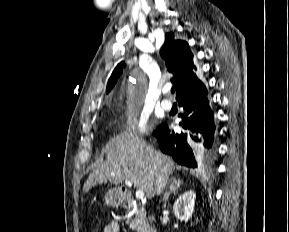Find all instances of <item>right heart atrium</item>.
I'll return each mask as SVG.
<instances>
[{
  "label": "right heart atrium",
  "instance_id": "d8ad5b80",
  "mask_svg": "<svg viewBox=\"0 0 289 232\" xmlns=\"http://www.w3.org/2000/svg\"><path fill=\"white\" fill-rule=\"evenodd\" d=\"M148 131V118L145 116L128 115L121 127V132L124 135L145 136Z\"/></svg>",
  "mask_w": 289,
  "mask_h": 232
}]
</instances>
